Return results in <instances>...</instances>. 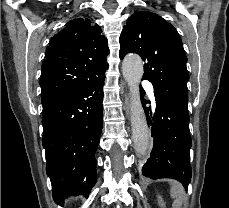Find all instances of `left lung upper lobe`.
I'll list each match as a JSON object with an SVG mask.
<instances>
[{
  "label": "left lung upper lobe",
  "instance_id": "left-lung-upper-lobe-1",
  "mask_svg": "<svg viewBox=\"0 0 229 208\" xmlns=\"http://www.w3.org/2000/svg\"><path fill=\"white\" fill-rule=\"evenodd\" d=\"M120 46L121 59L139 54L145 62L143 79L172 107L188 112L187 57L173 25L155 13L136 12L123 28Z\"/></svg>",
  "mask_w": 229,
  "mask_h": 208
}]
</instances>
